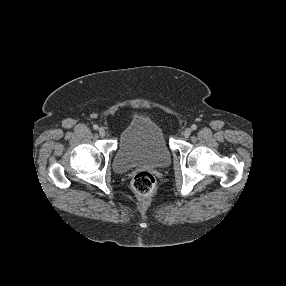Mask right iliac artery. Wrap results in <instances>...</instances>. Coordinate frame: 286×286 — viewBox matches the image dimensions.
<instances>
[{
    "mask_svg": "<svg viewBox=\"0 0 286 286\" xmlns=\"http://www.w3.org/2000/svg\"><path fill=\"white\" fill-rule=\"evenodd\" d=\"M93 128H94V130H98L99 127H98V125L95 124V125L93 126Z\"/></svg>",
    "mask_w": 286,
    "mask_h": 286,
    "instance_id": "right-iliac-artery-1",
    "label": "right iliac artery"
}]
</instances>
